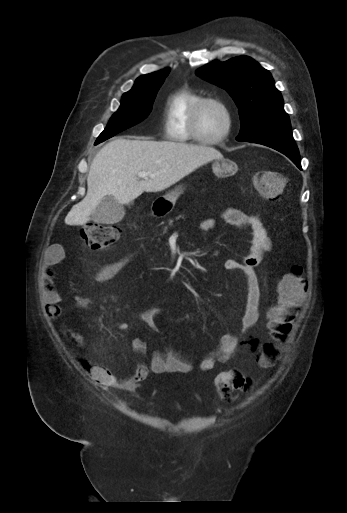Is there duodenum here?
Here are the masks:
<instances>
[{
  "mask_svg": "<svg viewBox=\"0 0 347 513\" xmlns=\"http://www.w3.org/2000/svg\"><path fill=\"white\" fill-rule=\"evenodd\" d=\"M163 210H164V205L161 202H159V201H155L154 204H153V211H154V213L160 214V213L163 212Z\"/></svg>",
  "mask_w": 347,
  "mask_h": 513,
  "instance_id": "1",
  "label": "duodenum"
}]
</instances>
